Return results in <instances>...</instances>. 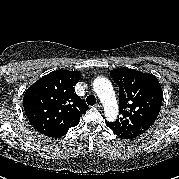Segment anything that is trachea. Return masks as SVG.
Listing matches in <instances>:
<instances>
[{
    "label": "trachea",
    "mask_w": 179,
    "mask_h": 179,
    "mask_svg": "<svg viewBox=\"0 0 179 179\" xmlns=\"http://www.w3.org/2000/svg\"><path fill=\"white\" fill-rule=\"evenodd\" d=\"M88 105H95L96 104V98L94 95H89L86 99Z\"/></svg>",
    "instance_id": "obj_1"
}]
</instances>
